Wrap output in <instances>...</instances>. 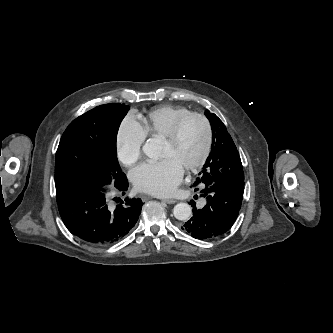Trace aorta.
I'll use <instances>...</instances> for the list:
<instances>
[{"label":"aorta","instance_id":"aorta-1","mask_svg":"<svg viewBox=\"0 0 333 333\" xmlns=\"http://www.w3.org/2000/svg\"><path fill=\"white\" fill-rule=\"evenodd\" d=\"M143 152L149 158H157L158 156L157 148L152 142H148L143 146ZM191 213V206L187 203H178L173 209V214L175 218L181 221L188 220L191 216Z\"/></svg>","mask_w":333,"mask_h":333}]
</instances>
